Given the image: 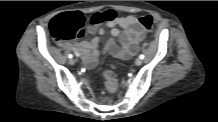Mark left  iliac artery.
Wrapping results in <instances>:
<instances>
[{"instance_id": "1", "label": "left iliac artery", "mask_w": 218, "mask_h": 122, "mask_svg": "<svg viewBox=\"0 0 218 122\" xmlns=\"http://www.w3.org/2000/svg\"><path fill=\"white\" fill-rule=\"evenodd\" d=\"M144 57H145V56H144L143 54H141V55L139 56L140 59H144Z\"/></svg>"}]
</instances>
